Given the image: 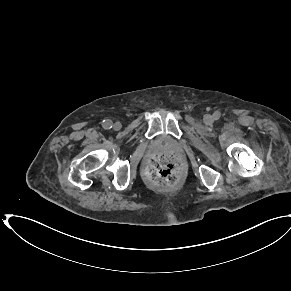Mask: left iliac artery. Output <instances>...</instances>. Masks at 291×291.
Returning <instances> with one entry per match:
<instances>
[{"mask_svg":"<svg viewBox=\"0 0 291 291\" xmlns=\"http://www.w3.org/2000/svg\"><path fill=\"white\" fill-rule=\"evenodd\" d=\"M219 117H220V113L219 112H215L214 113L215 120L219 119Z\"/></svg>","mask_w":291,"mask_h":291,"instance_id":"left-iliac-artery-1","label":"left iliac artery"}]
</instances>
